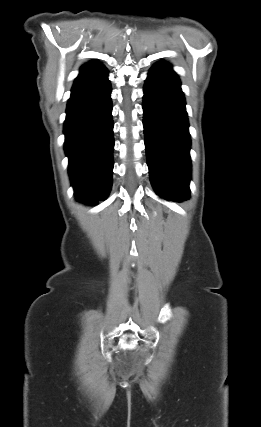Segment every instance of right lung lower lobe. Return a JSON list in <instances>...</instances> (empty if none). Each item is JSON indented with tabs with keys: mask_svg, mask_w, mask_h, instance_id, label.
<instances>
[{
	"mask_svg": "<svg viewBox=\"0 0 261 427\" xmlns=\"http://www.w3.org/2000/svg\"><path fill=\"white\" fill-rule=\"evenodd\" d=\"M107 74L104 65L80 73L64 123L71 184L77 199L89 204L104 199L112 185L114 139Z\"/></svg>",
	"mask_w": 261,
	"mask_h": 427,
	"instance_id": "obj_1",
	"label": "right lung lower lobe"
}]
</instances>
